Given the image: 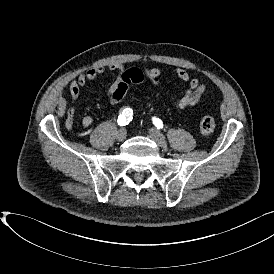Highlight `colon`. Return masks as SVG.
Segmentation results:
<instances>
[{"label":"colon","mask_w":274,"mask_h":274,"mask_svg":"<svg viewBox=\"0 0 274 274\" xmlns=\"http://www.w3.org/2000/svg\"><path fill=\"white\" fill-rule=\"evenodd\" d=\"M122 80L115 86V92L110 94L107 97V102L110 105H115L116 103H120L123 98L124 94L129 90V85L126 82L139 84L145 80V75L142 70L139 68H130L126 70L122 74ZM73 125L72 118L69 117L66 120V126L68 129H71ZM215 128V122L213 118L209 116H203L199 120V130L202 134L208 135L213 133Z\"/></svg>","instance_id":"obj_1"}]
</instances>
